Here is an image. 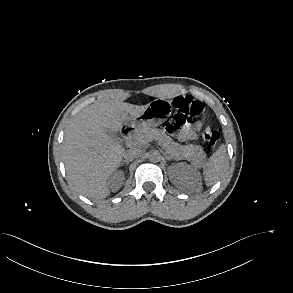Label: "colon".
Instances as JSON below:
<instances>
[{"instance_id": "5ec220e1", "label": "colon", "mask_w": 293, "mask_h": 293, "mask_svg": "<svg viewBox=\"0 0 293 293\" xmlns=\"http://www.w3.org/2000/svg\"><path fill=\"white\" fill-rule=\"evenodd\" d=\"M175 114L166 124V131L170 134H179L187 123L203 113L204 107L198 100H191L186 96H178L173 100ZM203 138L211 148H216L220 143V134L205 127Z\"/></svg>"}]
</instances>
